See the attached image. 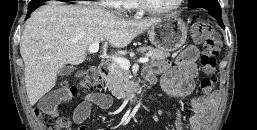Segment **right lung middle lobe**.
<instances>
[{"mask_svg":"<svg viewBox=\"0 0 257 130\" xmlns=\"http://www.w3.org/2000/svg\"><path fill=\"white\" fill-rule=\"evenodd\" d=\"M43 1L41 0H32L28 6V10H35L36 8H38L39 6H41Z\"/></svg>","mask_w":257,"mask_h":130,"instance_id":"1","label":"right lung middle lobe"}]
</instances>
